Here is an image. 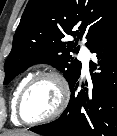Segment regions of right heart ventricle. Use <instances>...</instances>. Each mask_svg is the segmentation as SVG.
Segmentation results:
<instances>
[{
	"label": "right heart ventricle",
	"instance_id": "e07e8e85",
	"mask_svg": "<svg viewBox=\"0 0 117 136\" xmlns=\"http://www.w3.org/2000/svg\"><path fill=\"white\" fill-rule=\"evenodd\" d=\"M32 77V74H28L25 77H23L15 86L13 93H12V97H11V118L12 121L15 124H19L20 121L16 118L15 115V107H16V103H17V98L19 96L20 91L22 90V88L24 87V85L29 81V79Z\"/></svg>",
	"mask_w": 117,
	"mask_h": 136
}]
</instances>
